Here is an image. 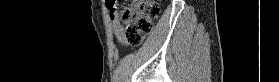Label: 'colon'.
Masks as SVG:
<instances>
[{
  "instance_id": "colon-1",
  "label": "colon",
  "mask_w": 279,
  "mask_h": 82,
  "mask_svg": "<svg viewBox=\"0 0 279 82\" xmlns=\"http://www.w3.org/2000/svg\"><path fill=\"white\" fill-rule=\"evenodd\" d=\"M117 17L125 31V42L129 45H140L151 33L154 21L160 15L158 1L124 0Z\"/></svg>"
}]
</instances>
